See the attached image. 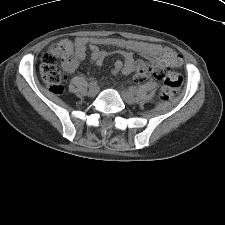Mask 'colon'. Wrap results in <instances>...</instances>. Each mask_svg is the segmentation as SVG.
I'll list each match as a JSON object with an SVG mask.
<instances>
[{"instance_id": "1", "label": "colon", "mask_w": 225, "mask_h": 225, "mask_svg": "<svg viewBox=\"0 0 225 225\" xmlns=\"http://www.w3.org/2000/svg\"><path fill=\"white\" fill-rule=\"evenodd\" d=\"M75 50L73 42L63 39L45 51L40 59L39 73L47 88L55 94L63 91L65 74L62 67L75 62ZM181 56L173 49H165L158 64L150 65L143 63L134 74L135 82H143L149 76L162 81L160 99L171 100L182 88L183 78L174 72L172 68L180 65Z\"/></svg>"}]
</instances>
